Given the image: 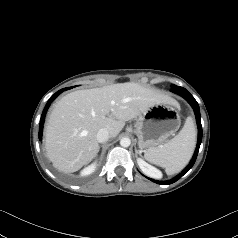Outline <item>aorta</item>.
I'll return each mask as SVG.
<instances>
[{
	"instance_id": "1",
	"label": "aorta",
	"mask_w": 238,
	"mask_h": 238,
	"mask_svg": "<svg viewBox=\"0 0 238 238\" xmlns=\"http://www.w3.org/2000/svg\"><path fill=\"white\" fill-rule=\"evenodd\" d=\"M130 144H131V140H130V138H128V137H124V138H122V139L120 140V145H121L122 147H129Z\"/></svg>"
}]
</instances>
